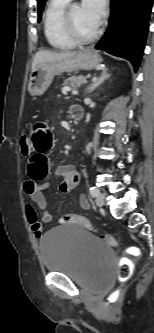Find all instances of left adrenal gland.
<instances>
[{
	"instance_id": "obj_1",
	"label": "left adrenal gland",
	"mask_w": 154,
	"mask_h": 333,
	"mask_svg": "<svg viewBox=\"0 0 154 333\" xmlns=\"http://www.w3.org/2000/svg\"><path fill=\"white\" fill-rule=\"evenodd\" d=\"M109 77L110 74L108 73V69L107 68L103 69L101 76L93 79L92 84L88 88V93L93 92L97 87H99L102 83H104V81L109 79Z\"/></svg>"
}]
</instances>
